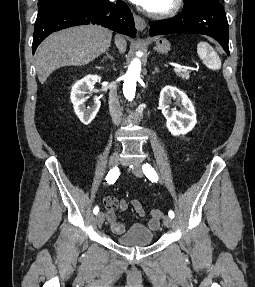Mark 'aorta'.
Here are the masks:
<instances>
[{
    "label": "aorta",
    "instance_id": "1",
    "mask_svg": "<svg viewBox=\"0 0 255 287\" xmlns=\"http://www.w3.org/2000/svg\"><path fill=\"white\" fill-rule=\"evenodd\" d=\"M141 61L137 58L130 63L124 76L123 93L127 100L132 101L135 97L136 82L140 78Z\"/></svg>",
    "mask_w": 255,
    "mask_h": 287
}]
</instances>
